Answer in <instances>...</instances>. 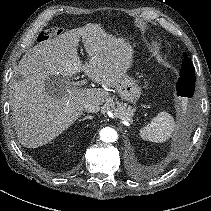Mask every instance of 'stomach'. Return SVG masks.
Listing matches in <instances>:
<instances>
[{
    "label": "stomach",
    "mask_w": 211,
    "mask_h": 211,
    "mask_svg": "<svg viewBox=\"0 0 211 211\" xmlns=\"http://www.w3.org/2000/svg\"><path fill=\"white\" fill-rule=\"evenodd\" d=\"M116 90L122 99L130 103L137 101L141 95L138 83L127 74L119 79L116 84Z\"/></svg>",
    "instance_id": "1"
}]
</instances>
